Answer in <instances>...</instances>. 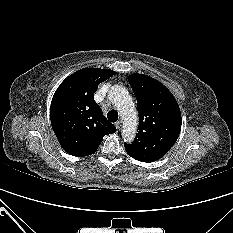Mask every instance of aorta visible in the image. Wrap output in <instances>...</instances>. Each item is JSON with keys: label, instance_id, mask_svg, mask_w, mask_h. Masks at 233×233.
Segmentation results:
<instances>
[{"label": "aorta", "instance_id": "1", "mask_svg": "<svg viewBox=\"0 0 233 233\" xmlns=\"http://www.w3.org/2000/svg\"><path fill=\"white\" fill-rule=\"evenodd\" d=\"M109 98L116 105L123 121L122 136L125 141H132L137 129V111L128 91L120 85H114L109 91Z\"/></svg>", "mask_w": 233, "mask_h": 233}]
</instances>
